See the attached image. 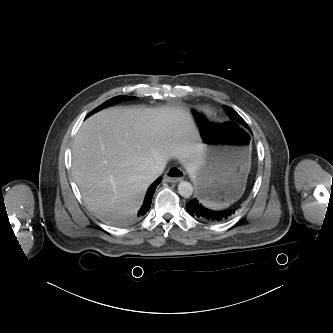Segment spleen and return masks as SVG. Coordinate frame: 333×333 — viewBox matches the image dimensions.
Returning <instances> with one entry per match:
<instances>
[{"instance_id": "3e777b00", "label": "spleen", "mask_w": 333, "mask_h": 333, "mask_svg": "<svg viewBox=\"0 0 333 333\" xmlns=\"http://www.w3.org/2000/svg\"><path fill=\"white\" fill-rule=\"evenodd\" d=\"M200 202L207 208L209 209H213V210H218V209H222L224 207H227V206H222L220 204H217V203H214V202H211V201H208V200H205V199H202L200 200Z\"/></svg>"}]
</instances>
